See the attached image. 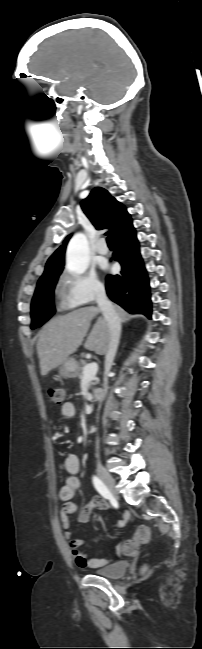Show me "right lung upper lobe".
I'll return each mask as SVG.
<instances>
[{"label":"right lung upper lobe","mask_w":202,"mask_h":649,"mask_svg":"<svg viewBox=\"0 0 202 649\" xmlns=\"http://www.w3.org/2000/svg\"><path fill=\"white\" fill-rule=\"evenodd\" d=\"M81 208L97 230L110 229L107 233L112 234L114 239L134 229L130 214L124 205L101 187L94 188L89 196L82 200ZM70 237L71 235L48 259L42 276L62 272L64 254Z\"/></svg>","instance_id":"cb5924a9"}]
</instances>
